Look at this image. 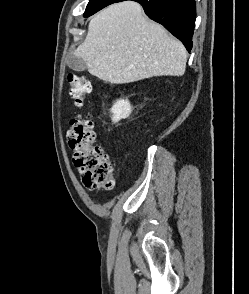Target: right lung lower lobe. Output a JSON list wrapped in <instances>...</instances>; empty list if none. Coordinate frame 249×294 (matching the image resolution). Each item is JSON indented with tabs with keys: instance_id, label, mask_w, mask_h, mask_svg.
Instances as JSON below:
<instances>
[{
	"instance_id": "right-lung-lower-lobe-1",
	"label": "right lung lower lobe",
	"mask_w": 249,
	"mask_h": 294,
	"mask_svg": "<svg viewBox=\"0 0 249 294\" xmlns=\"http://www.w3.org/2000/svg\"><path fill=\"white\" fill-rule=\"evenodd\" d=\"M124 0H117L120 2ZM140 3L152 20L162 24L188 51L192 48L195 26V0H133Z\"/></svg>"
}]
</instances>
